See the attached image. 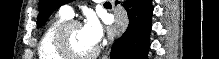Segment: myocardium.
<instances>
[{
    "instance_id": "obj_1",
    "label": "myocardium",
    "mask_w": 219,
    "mask_h": 59,
    "mask_svg": "<svg viewBox=\"0 0 219 59\" xmlns=\"http://www.w3.org/2000/svg\"><path fill=\"white\" fill-rule=\"evenodd\" d=\"M81 26L77 20L69 19L58 29L55 36V49L65 59H92L99 54V48L96 46L91 52L86 54L75 53L69 45L68 34L72 27Z\"/></svg>"
}]
</instances>
